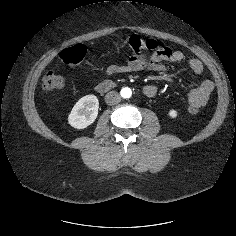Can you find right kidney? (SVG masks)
<instances>
[{
    "label": "right kidney",
    "instance_id": "ca27d5eb",
    "mask_svg": "<svg viewBox=\"0 0 236 236\" xmlns=\"http://www.w3.org/2000/svg\"><path fill=\"white\" fill-rule=\"evenodd\" d=\"M98 108V98L95 95H86L74 105L68 116V123L76 129H84L95 121Z\"/></svg>",
    "mask_w": 236,
    "mask_h": 236
}]
</instances>
